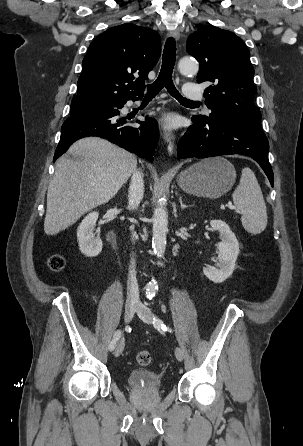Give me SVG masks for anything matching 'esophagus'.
<instances>
[{
  "label": "esophagus",
  "mask_w": 303,
  "mask_h": 446,
  "mask_svg": "<svg viewBox=\"0 0 303 446\" xmlns=\"http://www.w3.org/2000/svg\"><path fill=\"white\" fill-rule=\"evenodd\" d=\"M170 36H172L176 41L180 38L179 30H173L170 32ZM162 136L164 141L167 144V150L169 154H172L174 151V144H175V135L172 131H170L168 128H164L162 132Z\"/></svg>",
  "instance_id": "esophagus-1"
}]
</instances>
